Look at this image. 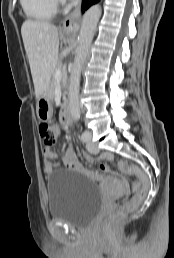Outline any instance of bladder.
I'll use <instances>...</instances> for the list:
<instances>
[{"label": "bladder", "instance_id": "bladder-1", "mask_svg": "<svg viewBox=\"0 0 174 258\" xmlns=\"http://www.w3.org/2000/svg\"><path fill=\"white\" fill-rule=\"evenodd\" d=\"M47 189L49 216L67 225L86 227L102 208L100 188L80 171H53Z\"/></svg>", "mask_w": 174, "mask_h": 258}]
</instances>
